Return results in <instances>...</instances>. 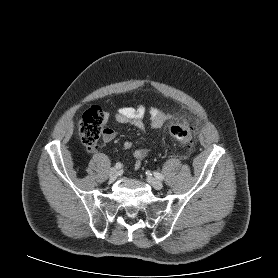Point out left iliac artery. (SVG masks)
<instances>
[{
    "label": "left iliac artery",
    "instance_id": "44dca946",
    "mask_svg": "<svg viewBox=\"0 0 278 278\" xmlns=\"http://www.w3.org/2000/svg\"><path fill=\"white\" fill-rule=\"evenodd\" d=\"M154 176H155L157 179H159V180H163V179H164L163 175L160 174L159 172H154Z\"/></svg>",
    "mask_w": 278,
    "mask_h": 278
}]
</instances>
